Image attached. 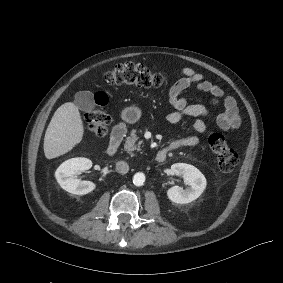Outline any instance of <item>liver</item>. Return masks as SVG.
Here are the masks:
<instances>
[{
	"instance_id": "liver-1",
	"label": "liver",
	"mask_w": 283,
	"mask_h": 283,
	"mask_svg": "<svg viewBox=\"0 0 283 283\" xmlns=\"http://www.w3.org/2000/svg\"><path fill=\"white\" fill-rule=\"evenodd\" d=\"M84 128L77 106L61 105L54 113L44 137V153L52 159L70 151L83 137Z\"/></svg>"
}]
</instances>
